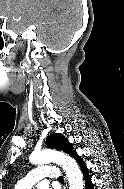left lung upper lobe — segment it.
<instances>
[{
  "label": "left lung upper lobe",
  "instance_id": "left-lung-upper-lobe-1",
  "mask_svg": "<svg viewBox=\"0 0 124 189\" xmlns=\"http://www.w3.org/2000/svg\"><path fill=\"white\" fill-rule=\"evenodd\" d=\"M46 144L48 148L61 150L72 157H75L77 153L73 150L72 145L65 139L61 134L54 133L46 139Z\"/></svg>",
  "mask_w": 124,
  "mask_h": 189
}]
</instances>
